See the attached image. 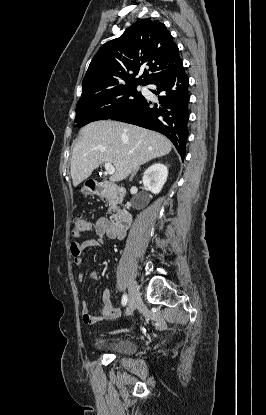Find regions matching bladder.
Returning <instances> with one entry per match:
<instances>
[{
    "label": "bladder",
    "instance_id": "31cf9c89",
    "mask_svg": "<svg viewBox=\"0 0 266 415\" xmlns=\"http://www.w3.org/2000/svg\"><path fill=\"white\" fill-rule=\"evenodd\" d=\"M97 349L116 355H131L136 350L135 343L129 338H118L110 343H101Z\"/></svg>",
    "mask_w": 266,
    "mask_h": 415
}]
</instances>
